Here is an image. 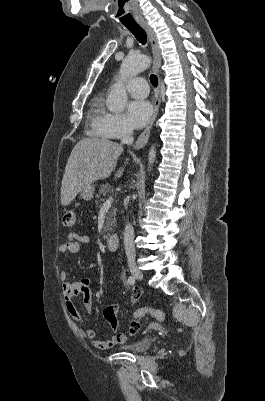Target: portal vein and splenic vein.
I'll list each match as a JSON object with an SVG mask.
<instances>
[{
  "label": "portal vein and splenic vein",
  "mask_w": 265,
  "mask_h": 401,
  "mask_svg": "<svg viewBox=\"0 0 265 401\" xmlns=\"http://www.w3.org/2000/svg\"><path fill=\"white\" fill-rule=\"evenodd\" d=\"M113 203V198L112 196H109L108 201H106V203H104L103 207H101V209H108V207H111Z\"/></svg>",
  "instance_id": "obj_1"
}]
</instances>
